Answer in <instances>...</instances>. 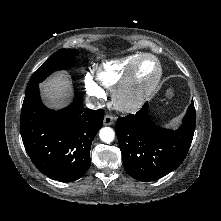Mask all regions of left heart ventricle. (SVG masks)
Listing matches in <instances>:
<instances>
[{
	"label": "left heart ventricle",
	"instance_id": "b2bd125f",
	"mask_svg": "<svg viewBox=\"0 0 221 221\" xmlns=\"http://www.w3.org/2000/svg\"><path fill=\"white\" fill-rule=\"evenodd\" d=\"M157 74L156 63L152 59L143 60L136 72V86L142 88L148 85Z\"/></svg>",
	"mask_w": 221,
	"mask_h": 221
}]
</instances>
